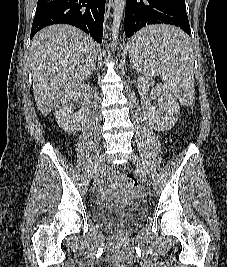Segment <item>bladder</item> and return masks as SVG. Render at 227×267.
Segmentation results:
<instances>
[{
  "label": "bladder",
  "instance_id": "obj_1",
  "mask_svg": "<svg viewBox=\"0 0 227 267\" xmlns=\"http://www.w3.org/2000/svg\"><path fill=\"white\" fill-rule=\"evenodd\" d=\"M92 215L96 223L105 227L128 228L145 218L146 209L142 205L129 207L94 205Z\"/></svg>",
  "mask_w": 227,
  "mask_h": 267
}]
</instances>
